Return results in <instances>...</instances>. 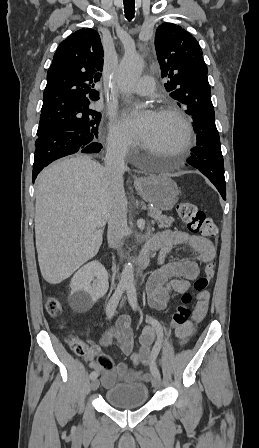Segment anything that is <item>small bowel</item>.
Masks as SVG:
<instances>
[{"label": "small bowel", "instance_id": "small-bowel-1", "mask_svg": "<svg viewBox=\"0 0 259 448\" xmlns=\"http://www.w3.org/2000/svg\"><path fill=\"white\" fill-rule=\"evenodd\" d=\"M160 254L159 268L149 277L146 290L149 305L157 310L164 309L173 293H185L191 289V281L200 275V266L213 262L216 251L213 243L205 237L192 235L183 231L166 230L151 239ZM181 248L185 257L168 261L167 256L174 248ZM210 294L207 290L196 294L197 302L192 312L191 321L183 327L173 328L180 344L186 343L196 332L197 326L204 320L209 307ZM153 330L146 327L140 336L141 363L147 371L130 370L124 363L115 364L103 352L102 347L117 345L122 354L128 356L134 346L131 318L121 316L115 326L102 337L100 345H92L84 356L88 366L100 374L102 384L109 388L117 381L127 383L148 382L152 372L157 368V361L151 354Z\"/></svg>", "mask_w": 259, "mask_h": 448}]
</instances>
